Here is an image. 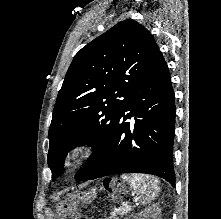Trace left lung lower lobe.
<instances>
[{"mask_svg": "<svg viewBox=\"0 0 221 219\" xmlns=\"http://www.w3.org/2000/svg\"><path fill=\"white\" fill-rule=\"evenodd\" d=\"M132 116L135 123L130 125L127 120ZM174 131L175 94L168 66L158 50L145 78L118 117L96 163L81 180L119 173H145L164 178L174 186Z\"/></svg>", "mask_w": 221, "mask_h": 219, "instance_id": "obj_1", "label": "left lung lower lobe"}]
</instances>
